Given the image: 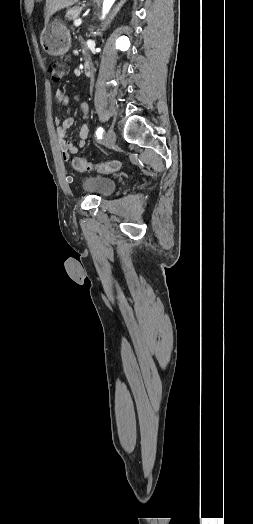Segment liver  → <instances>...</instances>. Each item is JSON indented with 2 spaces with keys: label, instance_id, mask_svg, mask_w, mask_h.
Listing matches in <instances>:
<instances>
[{
  "label": "liver",
  "instance_id": "liver-1",
  "mask_svg": "<svg viewBox=\"0 0 253 524\" xmlns=\"http://www.w3.org/2000/svg\"><path fill=\"white\" fill-rule=\"evenodd\" d=\"M79 0H46L45 4V24L48 23L50 17L57 11L64 9L77 3Z\"/></svg>",
  "mask_w": 253,
  "mask_h": 524
}]
</instances>
